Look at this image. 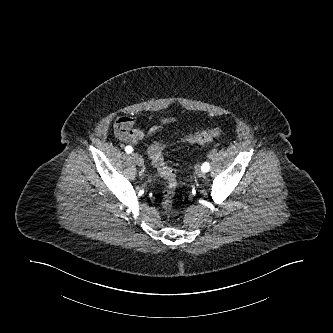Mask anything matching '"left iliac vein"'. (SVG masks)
I'll return each instance as SVG.
<instances>
[{
	"mask_svg": "<svg viewBox=\"0 0 333 333\" xmlns=\"http://www.w3.org/2000/svg\"><path fill=\"white\" fill-rule=\"evenodd\" d=\"M196 175H197L198 177H203V176L205 175L204 171L201 169L200 166H197V167H196Z\"/></svg>",
	"mask_w": 333,
	"mask_h": 333,
	"instance_id": "4c4485c4",
	"label": "left iliac vein"
}]
</instances>
